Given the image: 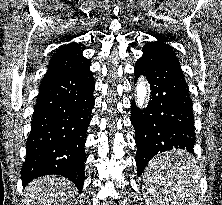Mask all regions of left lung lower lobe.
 Instances as JSON below:
<instances>
[{
    "label": "left lung lower lobe",
    "instance_id": "1",
    "mask_svg": "<svg viewBox=\"0 0 222 205\" xmlns=\"http://www.w3.org/2000/svg\"><path fill=\"white\" fill-rule=\"evenodd\" d=\"M153 36L157 41L145 44L135 65V79L144 75L151 90L147 108L141 110L134 102L131 106L138 175L157 153L175 148L193 153L196 139L192 101L179 60L162 37Z\"/></svg>",
    "mask_w": 222,
    "mask_h": 205
}]
</instances>
